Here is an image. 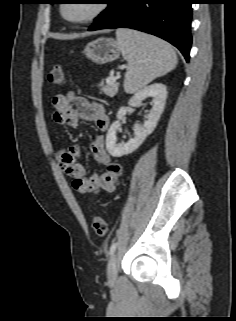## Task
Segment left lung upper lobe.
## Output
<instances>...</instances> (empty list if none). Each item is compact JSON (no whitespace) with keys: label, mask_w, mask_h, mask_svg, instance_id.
<instances>
[{"label":"left lung upper lobe","mask_w":236,"mask_h":321,"mask_svg":"<svg viewBox=\"0 0 236 321\" xmlns=\"http://www.w3.org/2000/svg\"><path fill=\"white\" fill-rule=\"evenodd\" d=\"M103 1H104V3L108 4V7H109L114 0H103ZM51 4H54V1H51ZM107 9H108V8H107ZM107 9H106V10H107ZM106 10H104V11L101 13V15H102Z\"/></svg>","instance_id":"left-lung-upper-lobe-1"}]
</instances>
